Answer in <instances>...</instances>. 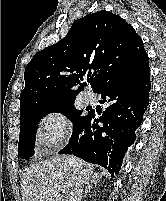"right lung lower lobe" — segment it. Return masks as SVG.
<instances>
[{
    "instance_id": "right-lung-lower-lobe-1",
    "label": "right lung lower lobe",
    "mask_w": 166,
    "mask_h": 201,
    "mask_svg": "<svg viewBox=\"0 0 166 201\" xmlns=\"http://www.w3.org/2000/svg\"><path fill=\"white\" fill-rule=\"evenodd\" d=\"M149 91L150 68L145 54L136 65L113 76L95 91L102 95L101 103L106 110L99 117L90 111L59 153L99 164L112 176L118 174L123 155L134 143L135 130L149 104Z\"/></svg>"
}]
</instances>
